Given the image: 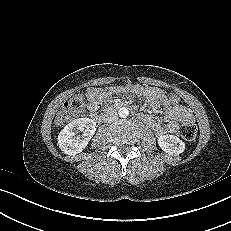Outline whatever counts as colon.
I'll return each mask as SVG.
<instances>
[{"label":"colon","mask_w":231,"mask_h":231,"mask_svg":"<svg viewBox=\"0 0 231 231\" xmlns=\"http://www.w3.org/2000/svg\"><path fill=\"white\" fill-rule=\"evenodd\" d=\"M168 100L172 105H181V99L176 94H170ZM83 108H84L83 96L75 95L62 107V109L60 110V112L58 113L55 119V124L57 126H63L72 117L80 114ZM180 135L184 140L188 142H192L196 139L197 128L193 124H185L180 129Z\"/></svg>","instance_id":"obj_1"}]
</instances>
